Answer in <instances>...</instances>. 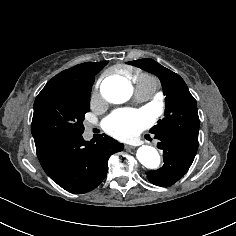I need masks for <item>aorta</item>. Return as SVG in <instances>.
I'll return each instance as SVG.
<instances>
[{
	"label": "aorta",
	"instance_id": "762f6f07",
	"mask_svg": "<svg viewBox=\"0 0 236 236\" xmlns=\"http://www.w3.org/2000/svg\"><path fill=\"white\" fill-rule=\"evenodd\" d=\"M103 97L114 104L126 102L133 93L132 85L123 77L114 76L105 79L101 85ZM136 157L148 169H157L160 165V156L157 150L148 145L138 148Z\"/></svg>",
	"mask_w": 236,
	"mask_h": 236
}]
</instances>
